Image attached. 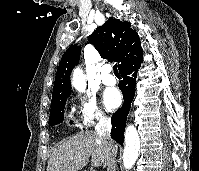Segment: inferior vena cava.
Instances as JSON below:
<instances>
[{
  "label": "inferior vena cava",
  "mask_w": 199,
  "mask_h": 171,
  "mask_svg": "<svg viewBox=\"0 0 199 171\" xmlns=\"http://www.w3.org/2000/svg\"><path fill=\"white\" fill-rule=\"evenodd\" d=\"M96 133L109 146L113 144L111 133V122L108 118L101 116L95 127ZM115 158H111L107 163V171H115Z\"/></svg>",
  "instance_id": "1"
}]
</instances>
